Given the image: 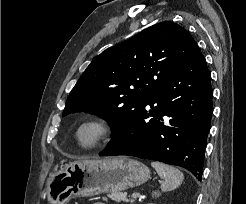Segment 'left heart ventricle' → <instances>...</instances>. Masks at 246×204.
<instances>
[{"label": "left heart ventricle", "instance_id": "b2bd125f", "mask_svg": "<svg viewBox=\"0 0 246 204\" xmlns=\"http://www.w3.org/2000/svg\"><path fill=\"white\" fill-rule=\"evenodd\" d=\"M95 135V130L93 128H86L81 132V139L83 141L91 140Z\"/></svg>", "mask_w": 246, "mask_h": 204}]
</instances>
